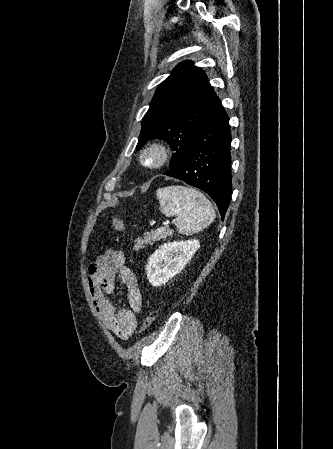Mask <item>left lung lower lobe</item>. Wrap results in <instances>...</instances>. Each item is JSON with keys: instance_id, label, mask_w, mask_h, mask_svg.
<instances>
[{"instance_id": "1", "label": "left lung lower lobe", "mask_w": 333, "mask_h": 449, "mask_svg": "<svg viewBox=\"0 0 333 449\" xmlns=\"http://www.w3.org/2000/svg\"><path fill=\"white\" fill-rule=\"evenodd\" d=\"M230 143L229 118L218 99L196 132L182 164L164 173L206 192L217 204L222 220L231 199Z\"/></svg>"}]
</instances>
